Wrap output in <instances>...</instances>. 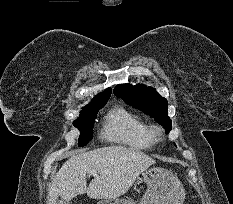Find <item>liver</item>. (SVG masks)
<instances>
[{
  "label": "liver",
  "instance_id": "6515ba94",
  "mask_svg": "<svg viewBox=\"0 0 233 204\" xmlns=\"http://www.w3.org/2000/svg\"><path fill=\"white\" fill-rule=\"evenodd\" d=\"M154 159L133 148L108 146L73 154L59 169L48 190L47 204L59 197L69 202L87 193L92 199H116L124 195ZM90 170L98 173L87 187Z\"/></svg>",
  "mask_w": 233,
  "mask_h": 204
}]
</instances>
